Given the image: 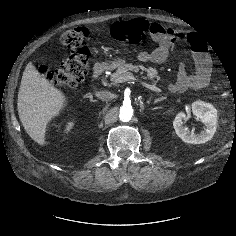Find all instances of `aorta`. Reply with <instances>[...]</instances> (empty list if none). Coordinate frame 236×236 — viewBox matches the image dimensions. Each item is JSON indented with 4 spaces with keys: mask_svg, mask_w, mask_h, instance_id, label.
<instances>
[{
    "mask_svg": "<svg viewBox=\"0 0 236 236\" xmlns=\"http://www.w3.org/2000/svg\"><path fill=\"white\" fill-rule=\"evenodd\" d=\"M133 116V108L129 105H123L120 108L119 118L122 122H129Z\"/></svg>",
    "mask_w": 236,
    "mask_h": 236,
    "instance_id": "aorta-1",
    "label": "aorta"
}]
</instances>
